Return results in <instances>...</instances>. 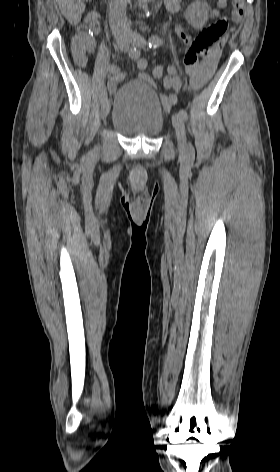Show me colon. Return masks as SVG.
<instances>
[{
  "label": "colon",
  "instance_id": "obj_1",
  "mask_svg": "<svg viewBox=\"0 0 280 472\" xmlns=\"http://www.w3.org/2000/svg\"><path fill=\"white\" fill-rule=\"evenodd\" d=\"M245 0H232L230 19L223 17L204 28L192 41L188 44V48L184 57L186 65L194 66L198 63L199 58L210 57L218 48L223 47L224 35L228 29L230 20L234 23H239L242 20L244 13ZM90 32H96L97 26L95 23L85 24ZM80 62V61H79ZM164 75V69L161 66H156L151 74L152 80L161 79Z\"/></svg>",
  "mask_w": 280,
  "mask_h": 472
}]
</instances>
